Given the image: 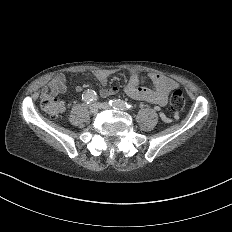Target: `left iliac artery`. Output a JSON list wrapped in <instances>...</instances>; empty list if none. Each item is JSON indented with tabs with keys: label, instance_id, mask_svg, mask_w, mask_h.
Wrapping results in <instances>:
<instances>
[{
	"label": "left iliac artery",
	"instance_id": "obj_1",
	"mask_svg": "<svg viewBox=\"0 0 232 232\" xmlns=\"http://www.w3.org/2000/svg\"><path fill=\"white\" fill-rule=\"evenodd\" d=\"M109 105L117 110H124V111H128V110L133 111L134 110V107L131 104L124 102L120 99L119 100H110Z\"/></svg>",
	"mask_w": 232,
	"mask_h": 232
}]
</instances>
